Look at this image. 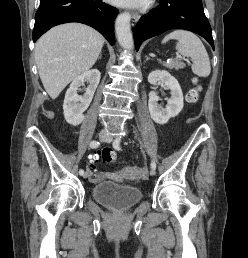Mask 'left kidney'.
<instances>
[{"mask_svg": "<svg viewBox=\"0 0 248 258\" xmlns=\"http://www.w3.org/2000/svg\"><path fill=\"white\" fill-rule=\"evenodd\" d=\"M148 82L152 85L162 82L171 91L168 106L162 108L159 104V97L155 91L149 93L148 107L150 116L157 124H166L171 118L176 117L183 109V93L181 87L169 72L155 70L148 75Z\"/></svg>", "mask_w": 248, "mask_h": 258, "instance_id": "5707ae66", "label": "left kidney"}]
</instances>
